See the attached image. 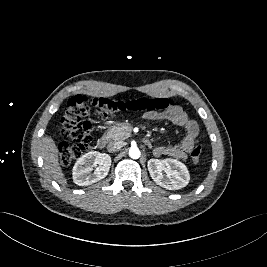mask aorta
<instances>
[{
	"label": "aorta",
	"mask_w": 267,
	"mask_h": 267,
	"mask_svg": "<svg viewBox=\"0 0 267 267\" xmlns=\"http://www.w3.org/2000/svg\"><path fill=\"white\" fill-rule=\"evenodd\" d=\"M140 155H141V152L137 147H131L129 149V156L132 159H138L140 157Z\"/></svg>",
	"instance_id": "obj_1"
}]
</instances>
